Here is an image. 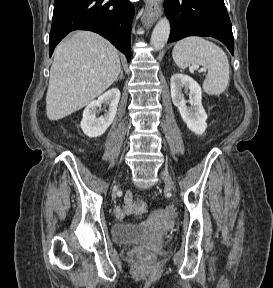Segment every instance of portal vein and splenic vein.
<instances>
[{
    "mask_svg": "<svg viewBox=\"0 0 273 288\" xmlns=\"http://www.w3.org/2000/svg\"><path fill=\"white\" fill-rule=\"evenodd\" d=\"M196 69H198V65H193V66H191V71L196 70ZM204 71H205L204 68H201V69H200V72H204Z\"/></svg>",
    "mask_w": 273,
    "mask_h": 288,
    "instance_id": "portal-vein-and-splenic-vein-1",
    "label": "portal vein and splenic vein"
}]
</instances>
